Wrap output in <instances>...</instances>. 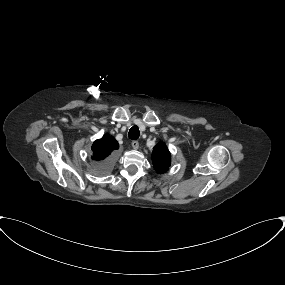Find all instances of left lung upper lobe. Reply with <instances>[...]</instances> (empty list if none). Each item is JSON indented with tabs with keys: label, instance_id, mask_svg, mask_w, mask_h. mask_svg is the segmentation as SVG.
<instances>
[{
	"label": "left lung upper lobe",
	"instance_id": "1",
	"mask_svg": "<svg viewBox=\"0 0 285 285\" xmlns=\"http://www.w3.org/2000/svg\"><path fill=\"white\" fill-rule=\"evenodd\" d=\"M152 161L154 169L158 173H164L168 170L171 162L170 152L164 143H158L152 152Z\"/></svg>",
	"mask_w": 285,
	"mask_h": 285
}]
</instances>
